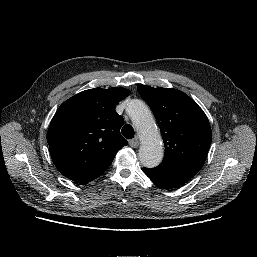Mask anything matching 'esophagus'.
Masks as SVG:
<instances>
[{
    "instance_id": "1",
    "label": "esophagus",
    "mask_w": 257,
    "mask_h": 257,
    "mask_svg": "<svg viewBox=\"0 0 257 257\" xmlns=\"http://www.w3.org/2000/svg\"><path fill=\"white\" fill-rule=\"evenodd\" d=\"M129 145H130L132 148L138 147V145H139L138 138L135 137L134 139L130 140V141H129Z\"/></svg>"
}]
</instances>
